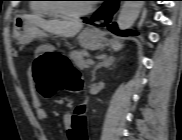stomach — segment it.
Here are the masks:
<instances>
[{
    "mask_svg": "<svg viewBox=\"0 0 182 140\" xmlns=\"http://www.w3.org/2000/svg\"><path fill=\"white\" fill-rule=\"evenodd\" d=\"M42 33L30 21L22 16H18L14 20L13 35L15 40L25 45L33 39L40 36ZM80 45L84 49L97 50L103 48L107 44L106 38L101 32L94 28H85L77 37Z\"/></svg>",
    "mask_w": 182,
    "mask_h": 140,
    "instance_id": "stomach-1",
    "label": "stomach"
}]
</instances>
